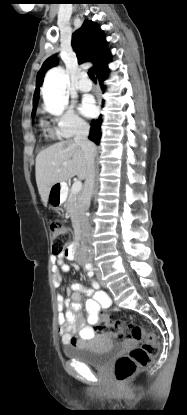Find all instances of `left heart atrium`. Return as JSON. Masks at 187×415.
<instances>
[{"mask_svg": "<svg viewBox=\"0 0 187 415\" xmlns=\"http://www.w3.org/2000/svg\"><path fill=\"white\" fill-rule=\"evenodd\" d=\"M80 111L83 115L87 117H92L95 114L96 106L92 97H84L80 105Z\"/></svg>", "mask_w": 187, "mask_h": 415, "instance_id": "obj_1", "label": "left heart atrium"}]
</instances>
